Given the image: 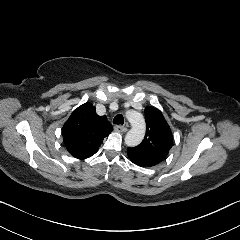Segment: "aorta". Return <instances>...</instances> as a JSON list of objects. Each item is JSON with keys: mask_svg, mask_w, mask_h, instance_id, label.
Returning <instances> with one entry per match:
<instances>
[{"mask_svg": "<svg viewBox=\"0 0 240 240\" xmlns=\"http://www.w3.org/2000/svg\"><path fill=\"white\" fill-rule=\"evenodd\" d=\"M126 118L132 128L127 132L124 141L127 146L135 147L139 145L144 138L146 130L145 120L141 113L134 110H128L126 112Z\"/></svg>", "mask_w": 240, "mask_h": 240, "instance_id": "obj_1", "label": "aorta"}]
</instances>
